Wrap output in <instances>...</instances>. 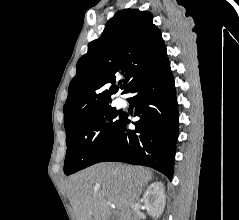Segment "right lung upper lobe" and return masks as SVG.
Instances as JSON below:
<instances>
[{
    "label": "right lung upper lobe",
    "mask_w": 239,
    "mask_h": 220,
    "mask_svg": "<svg viewBox=\"0 0 239 220\" xmlns=\"http://www.w3.org/2000/svg\"><path fill=\"white\" fill-rule=\"evenodd\" d=\"M152 20L147 11L120 10L101 36L88 44L63 107L65 130L85 114L109 105L111 95L119 89L114 84L116 75L125 76L126 84L120 88L128 93L137 81L168 60L161 32Z\"/></svg>",
    "instance_id": "1"
}]
</instances>
